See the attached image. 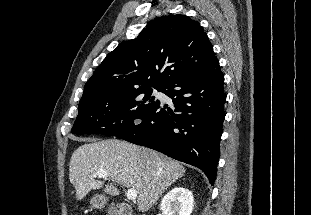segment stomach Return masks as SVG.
<instances>
[{
  "label": "stomach",
  "mask_w": 311,
  "mask_h": 215,
  "mask_svg": "<svg viewBox=\"0 0 311 215\" xmlns=\"http://www.w3.org/2000/svg\"><path fill=\"white\" fill-rule=\"evenodd\" d=\"M107 198L104 195H94L91 200L90 203L92 205L93 208L95 209H102L104 207V205L106 204ZM116 208L111 206L109 208V215H116Z\"/></svg>",
  "instance_id": "stomach-1"
}]
</instances>
